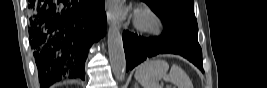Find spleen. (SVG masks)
Returning a JSON list of instances; mask_svg holds the SVG:
<instances>
[{
    "label": "spleen",
    "mask_w": 267,
    "mask_h": 88,
    "mask_svg": "<svg viewBox=\"0 0 267 88\" xmlns=\"http://www.w3.org/2000/svg\"><path fill=\"white\" fill-rule=\"evenodd\" d=\"M169 65L162 59H151L142 63L135 72V79L142 88H162L158 83L163 79L173 83L177 88H189V78L185 71L178 65Z\"/></svg>",
    "instance_id": "obj_1"
}]
</instances>
